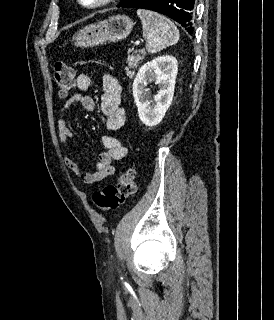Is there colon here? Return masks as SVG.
I'll list each match as a JSON object with an SVG mask.
<instances>
[{
	"mask_svg": "<svg viewBox=\"0 0 274 320\" xmlns=\"http://www.w3.org/2000/svg\"><path fill=\"white\" fill-rule=\"evenodd\" d=\"M53 78L61 99L68 97L74 86L75 70L64 59L55 62ZM134 194V172L131 168L121 172L116 184L107 185L103 190L96 191L92 200L102 211L113 210L123 205Z\"/></svg>",
	"mask_w": 274,
	"mask_h": 320,
	"instance_id": "5ec220e1",
	"label": "colon"
}]
</instances>
